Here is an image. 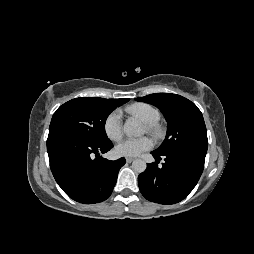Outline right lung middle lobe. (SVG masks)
Returning <instances> with one entry per match:
<instances>
[{
    "instance_id": "right-lung-middle-lobe-1",
    "label": "right lung middle lobe",
    "mask_w": 254,
    "mask_h": 254,
    "mask_svg": "<svg viewBox=\"0 0 254 254\" xmlns=\"http://www.w3.org/2000/svg\"><path fill=\"white\" fill-rule=\"evenodd\" d=\"M116 108L110 99L99 97L72 99L53 114L49 130L60 129L92 142L110 141L105 132L108 115Z\"/></svg>"
}]
</instances>
